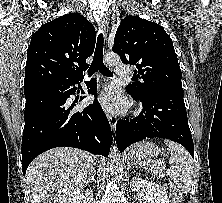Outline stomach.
I'll list each match as a JSON object with an SVG mask.
<instances>
[{
	"mask_svg": "<svg viewBox=\"0 0 222 203\" xmlns=\"http://www.w3.org/2000/svg\"><path fill=\"white\" fill-rule=\"evenodd\" d=\"M161 153V149L149 141H142L132 145L127 152L129 159L134 161H143L155 158Z\"/></svg>",
	"mask_w": 222,
	"mask_h": 203,
	"instance_id": "obj_1",
	"label": "stomach"
}]
</instances>
